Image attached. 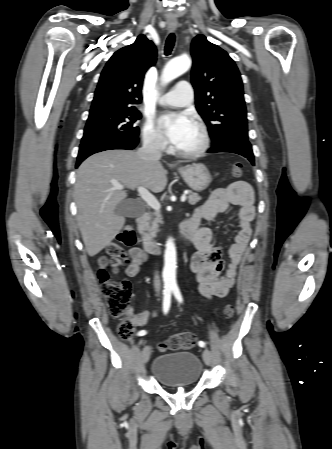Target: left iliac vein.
I'll list each match as a JSON object with an SVG mask.
<instances>
[{
    "label": "left iliac vein",
    "mask_w": 332,
    "mask_h": 449,
    "mask_svg": "<svg viewBox=\"0 0 332 449\" xmlns=\"http://www.w3.org/2000/svg\"><path fill=\"white\" fill-rule=\"evenodd\" d=\"M203 360H204V362L207 365H209V366L212 365V363H213V355H212V353H211V351L209 349H205L203 351Z\"/></svg>",
    "instance_id": "left-iliac-vein-1"
}]
</instances>
